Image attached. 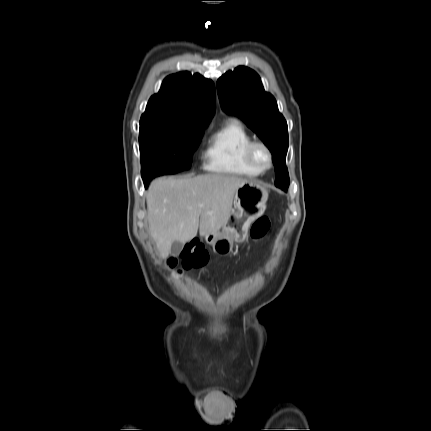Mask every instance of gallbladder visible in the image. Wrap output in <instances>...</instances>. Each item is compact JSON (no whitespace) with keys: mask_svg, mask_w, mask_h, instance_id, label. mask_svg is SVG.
Segmentation results:
<instances>
[{"mask_svg":"<svg viewBox=\"0 0 431 431\" xmlns=\"http://www.w3.org/2000/svg\"><path fill=\"white\" fill-rule=\"evenodd\" d=\"M183 243L179 241H174L171 246V253L173 255H179L183 249Z\"/></svg>","mask_w":431,"mask_h":431,"instance_id":"gallbladder-1","label":"gallbladder"}]
</instances>
